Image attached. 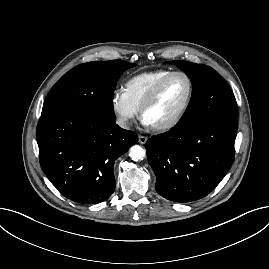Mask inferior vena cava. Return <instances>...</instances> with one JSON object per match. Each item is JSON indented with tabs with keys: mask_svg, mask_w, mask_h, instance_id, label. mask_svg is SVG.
Instances as JSON below:
<instances>
[{
	"mask_svg": "<svg viewBox=\"0 0 269 269\" xmlns=\"http://www.w3.org/2000/svg\"><path fill=\"white\" fill-rule=\"evenodd\" d=\"M117 124L121 127V128H128L129 127V123L126 119L120 118L117 120Z\"/></svg>",
	"mask_w": 269,
	"mask_h": 269,
	"instance_id": "602c4592",
	"label": "inferior vena cava"
}]
</instances>
